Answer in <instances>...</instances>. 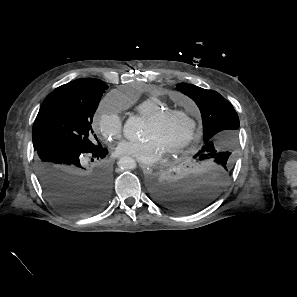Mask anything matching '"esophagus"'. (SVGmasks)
I'll return each mask as SVG.
<instances>
[{"instance_id": "1", "label": "esophagus", "mask_w": 297, "mask_h": 297, "mask_svg": "<svg viewBox=\"0 0 297 297\" xmlns=\"http://www.w3.org/2000/svg\"><path fill=\"white\" fill-rule=\"evenodd\" d=\"M140 167L143 170L144 173H151L152 172V168L146 164L140 163Z\"/></svg>"}]
</instances>
